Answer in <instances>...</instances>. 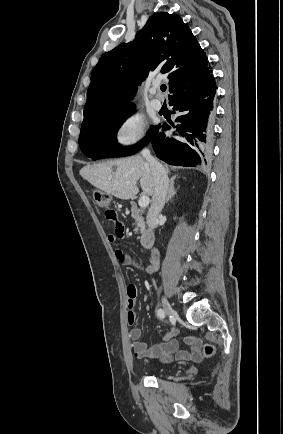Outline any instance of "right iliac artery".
Wrapping results in <instances>:
<instances>
[{"instance_id":"82829eb1","label":"right iliac artery","mask_w":283,"mask_h":434,"mask_svg":"<svg viewBox=\"0 0 283 434\" xmlns=\"http://www.w3.org/2000/svg\"><path fill=\"white\" fill-rule=\"evenodd\" d=\"M157 316H158L160 319H163V318L165 317V313H164V311H163L162 309H158V310H157Z\"/></svg>"}]
</instances>
